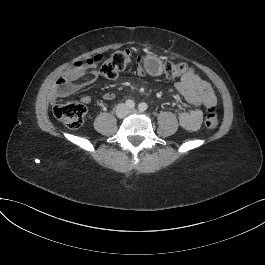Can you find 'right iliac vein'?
I'll list each match as a JSON object with an SVG mask.
<instances>
[{
	"label": "right iliac vein",
	"instance_id": "63e3f726",
	"mask_svg": "<svg viewBox=\"0 0 265 265\" xmlns=\"http://www.w3.org/2000/svg\"><path fill=\"white\" fill-rule=\"evenodd\" d=\"M116 113L118 116L123 117L126 114V107L123 104H120L117 109Z\"/></svg>",
	"mask_w": 265,
	"mask_h": 265
}]
</instances>
